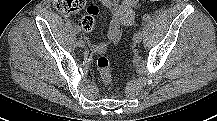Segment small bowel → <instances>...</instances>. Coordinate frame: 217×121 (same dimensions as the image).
I'll use <instances>...</instances> for the list:
<instances>
[{
	"label": "small bowel",
	"instance_id": "obj_1",
	"mask_svg": "<svg viewBox=\"0 0 217 121\" xmlns=\"http://www.w3.org/2000/svg\"><path fill=\"white\" fill-rule=\"evenodd\" d=\"M109 10L111 20L104 40L92 46L93 51L103 52L109 45L116 44L121 37L122 27L135 25V10L140 7L141 0H100Z\"/></svg>",
	"mask_w": 217,
	"mask_h": 121
}]
</instances>
